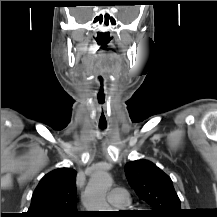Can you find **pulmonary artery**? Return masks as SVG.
<instances>
[{"label":"pulmonary artery","instance_id":"e3ab8cb5","mask_svg":"<svg viewBox=\"0 0 217 217\" xmlns=\"http://www.w3.org/2000/svg\"><path fill=\"white\" fill-rule=\"evenodd\" d=\"M107 201L116 208H125L130 203L127 190L121 187L112 189L107 195Z\"/></svg>","mask_w":217,"mask_h":217}]
</instances>
